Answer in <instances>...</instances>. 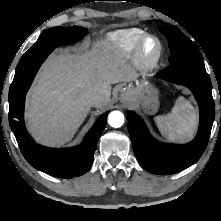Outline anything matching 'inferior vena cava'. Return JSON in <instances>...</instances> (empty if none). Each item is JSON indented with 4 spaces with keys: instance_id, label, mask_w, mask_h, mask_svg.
Returning a JSON list of instances; mask_svg holds the SVG:
<instances>
[{
    "instance_id": "inferior-vena-cava-1",
    "label": "inferior vena cava",
    "mask_w": 221,
    "mask_h": 221,
    "mask_svg": "<svg viewBox=\"0 0 221 221\" xmlns=\"http://www.w3.org/2000/svg\"><path fill=\"white\" fill-rule=\"evenodd\" d=\"M100 95L96 92H92L87 96V103L90 106H96L100 102Z\"/></svg>"
}]
</instances>
